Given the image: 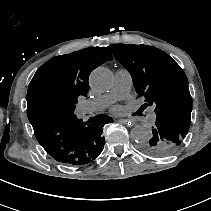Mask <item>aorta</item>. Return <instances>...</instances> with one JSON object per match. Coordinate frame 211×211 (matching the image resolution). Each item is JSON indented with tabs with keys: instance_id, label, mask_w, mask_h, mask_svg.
<instances>
[{
	"instance_id": "762f6f07",
	"label": "aorta",
	"mask_w": 211,
	"mask_h": 211,
	"mask_svg": "<svg viewBox=\"0 0 211 211\" xmlns=\"http://www.w3.org/2000/svg\"><path fill=\"white\" fill-rule=\"evenodd\" d=\"M113 75L110 70L105 67H98L92 71L89 83L93 90L104 92L111 88ZM131 138L136 142H143L150 137L149 130L143 125H136L130 132Z\"/></svg>"
}]
</instances>
